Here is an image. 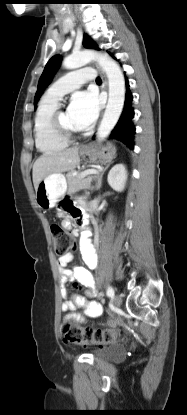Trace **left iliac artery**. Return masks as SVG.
Returning <instances> with one entry per match:
<instances>
[{"label":"left iliac artery","instance_id":"1","mask_svg":"<svg viewBox=\"0 0 187 415\" xmlns=\"http://www.w3.org/2000/svg\"><path fill=\"white\" fill-rule=\"evenodd\" d=\"M107 296L108 297H113L114 296V290L111 286H109L108 289H107Z\"/></svg>","mask_w":187,"mask_h":415}]
</instances>
